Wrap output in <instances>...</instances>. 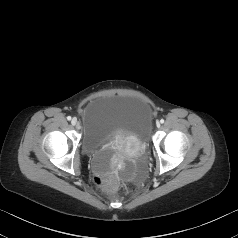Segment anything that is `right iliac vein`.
<instances>
[{
    "label": "right iliac vein",
    "instance_id": "obj_1",
    "mask_svg": "<svg viewBox=\"0 0 238 238\" xmlns=\"http://www.w3.org/2000/svg\"><path fill=\"white\" fill-rule=\"evenodd\" d=\"M71 124L76 126L78 124V121L76 118H73L72 121H71Z\"/></svg>",
    "mask_w": 238,
    "mask_h": 238
}]
</instances>
